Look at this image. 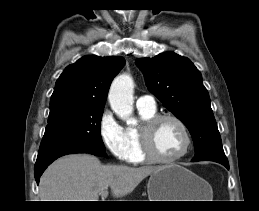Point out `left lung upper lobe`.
<instances>
[{"label":"left lung upper lobe","mask_w":259,"mask_h":211,"mask_svg":"<svg viewBox=\"0 0 259 211\" xmlns=\"http://www.w3.org/2000/svg\"><path fill=\"white\" fill-rule=\"evenodd\" d=\"M148 89L188 128L195 148L193 162H228L201 73L185 57L168 51L136 60Z\"/></svg>","instance_id":"obj_1"}]
</instances>
